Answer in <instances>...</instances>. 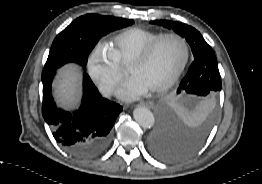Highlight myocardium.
I'll return each mask as SVG.
<instances>
[{
    "label": "myocardium",
    "mask_w": 262,
    "mask_h": 184,
    "mask_svg": "<svg viewBox=\"0 0 262 184\" xmlns=\"http://www.w3.org/2000/svg\"><path fill=\"white\" fill-rule=\"evenodd\" d=\"M167 38H176L183 43L184 48H185V57H184L182 64L177 69V71L173 74V76L164 84H162L158 87H154V88L149 89L151 92H155V93L164 92V91L170 89L179 80V78L181 77L182 73L184 72V70H185V68H186V66L189 62V58H190V47H189L187 40L183 36H181L177 33L162 34L159 37H157L155 40L150 42L148 45H146L142 49V51L130 62L129 66H128L129 73L131 74L132 70L135 67L140 66V65L144 64L145 62H147V60L150 58V56L152 55L153 51L158 46V44L160 42H162L163 40L167 39Z\"/></svg>",
    "instance_id": "myocardium-1"
}]
</instances>
